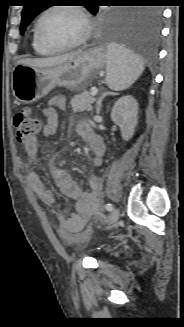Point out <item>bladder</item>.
Wrapping results in <instances>:
<instances>
[{"mask_svg": "<svg viewBox=\"0 0 184 327\" xmlns=\"http://www.w3.org/2000/svg\"><path fill=\"white\" fill-rule=\"evenodd\" d=\"M93 240V234L90 232H84L75 237V239L71 242L72 246L82 247L84 249H88Z\"/></svg>", "mask_w": 184, "mask_h": 327, "instance_id": "obj_1", "label": "bladder"}]
</instances>
